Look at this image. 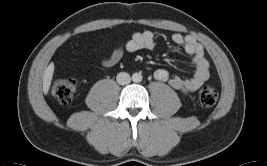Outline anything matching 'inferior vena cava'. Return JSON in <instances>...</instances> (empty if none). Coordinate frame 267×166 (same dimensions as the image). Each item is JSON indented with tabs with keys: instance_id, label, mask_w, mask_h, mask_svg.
<instances>
[{
	"instance_id": "obj_1",
	"label": "inferior vena cava",
	"mask_w": 267,
	"mask_h": 166,
	"mask_svg": "<svg viewBox=\"0 0 267 166\" xmlns=\"http://www.w3.org/2000/svg\"><path fill=\"white\" fill-rule=\"evenodd\" d=\"M116 80L120 85H127L131 82V77L126 72H120L117 74Z\"/></svg>"
}]
</instances>
